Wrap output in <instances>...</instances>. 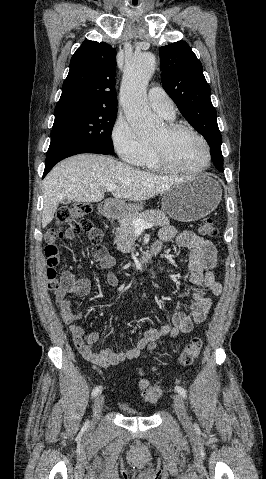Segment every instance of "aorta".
<instances>
[{"instance_id":"obj_1","label":"aorta","mask_w":266,"mask_h":479,"mask_svg":"<svg viewBox=\"0 0 266 479\" xmlns=\"http://www.w3.org/2000/svg\"><path fill=\"white\" fill-rule=\"evenodd\" d=\"M154 69L155 57L149 52L134 55L125 65L120 101L128 123L138 135H150L162 124L146 100V87Z\"/></svg>"}]
</instances>
